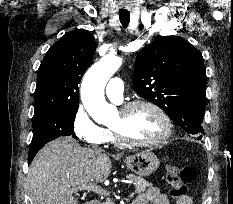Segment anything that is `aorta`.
<instances>
[{"instance_id": "obj_1", "label": "aorta", "mask_w": 233, "mask_h": 204, "mask_svg": "<svg viewBox=\"0 0 233 204\" xmlns=\"http://www.w3.org/2000/svg\"><path fill=\"white\" fill-rule=\"evenodd\" d=\"M119 57L107 55L86 72L81 84V100L89 115L99 124H107L116 114L114 105L108 104L104 88L108 80L121 66Z\"/></svg>"}]
</instances>
